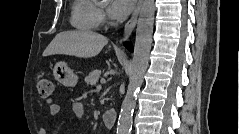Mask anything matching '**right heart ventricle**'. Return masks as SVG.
<instances>
[{"instance_id":"1","label":"right heart ventricle","mask_w":239,"mask_h":134,"mask_svg":"<svg viewBox=\"0 0 239 134\" xmlns=\"http://www.w3.org/2000/svg\"><path fill=\"white\" fill-rule=\"evenodd\" d=\"M99 6L93 0H75L71 8L70 22L76 29L91 31L99 24Z\"/></svg>"}]
</instances>
